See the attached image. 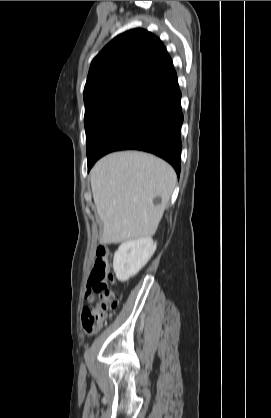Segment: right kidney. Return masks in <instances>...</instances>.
I'll return each mask as SVG.
<instances>
[{
	"label": "right kidney",
	"instance_id": "ca27d5eb",
	"mask_svg": "<svg viewBox=\"0 0 271 418\" xmlns=\"http://www.w3.org/2000/svg\"><path fill=\"white\" fill-rule=\"evenodd\" d=\"M156 246L151 237L122 243L113 258V269L117 279L125 282L136 275L152 257Z\"/></svg>",
	"mask_w": 271,
	"mask_h": 418
}]
</instances>
